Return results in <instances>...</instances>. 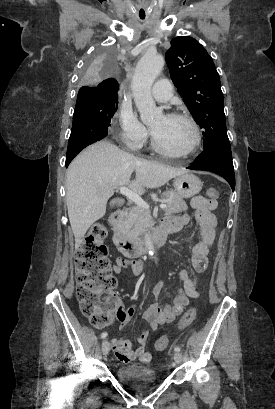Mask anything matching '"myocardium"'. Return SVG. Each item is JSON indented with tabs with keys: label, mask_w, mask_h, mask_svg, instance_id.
<instances>
[{
	"label": "myocardium",
	"mask_w": 275,
	"mask_h": 409,
	"mask_svg": "<svg viewBox=\"0 0 275 409\" xmlns=\"http://www.w3.org/2000/svg\"><path fill=\"white\" fill-rule=\"evenodd\" d=\"M164 116L171 120L185 121L192 129L193 139L189 146L184 150L181 151L170 150L159 143V141L153 134L152 130L150 129L151 146L154 149V151H156L159 154L170 157H185L193 153L201 141L200 129L196 121L191 116L179 112L167 113Z\"/></svg>",
	"instance_id": "myocardium-1"
}]
</instances>
